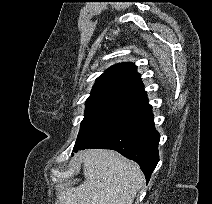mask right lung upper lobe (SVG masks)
I'll list each match as a JSON object with an SVG mask.
<instances>
[{
  "instance_id": "obj_1",
  "label": "right lung upper lobe",
  "mask_w": 212,
  "mask_h": 204,
  "mask_svg": "<svg viewBox=\"0 0 212 204\" xmlns=\"http://www.w3.org/2000/svg\"><path fill=\"white\" fill-rule=\"evenodd\" d=\"M98 100H117L146 106V93L135 64H116L99 76L86 103Z\"/></svg>"
}]
</instances>
